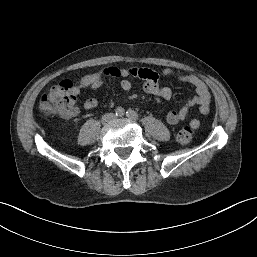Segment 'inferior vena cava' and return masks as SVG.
Segmentation results:
<instances>
[{
    "instance_id": "1",
    "label": "inferior vena cava",
    "mask_w": 257,
    "mask_h": 257,
    "mask_svg": "<svg viewBox=\"0 0 257 257\" xmlns=\"http://www.w3.org/2000/svg\"><path fill=\"white\" fill-rule=\"evenodd\" d=\"M115 118V115L113 113H108L102 116V122H110Z\"/></svg>"
}]
</instances>
